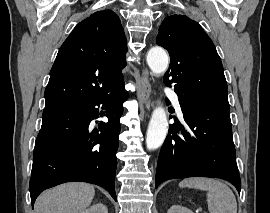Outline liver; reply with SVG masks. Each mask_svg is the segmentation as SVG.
<instances>
[{"mask_svg": "<svg viewBox=\"0 0 270 213\" xmlns=\"http://www.w3.org/2000/svg\"><path fill=\"white\" fill-rule=\"evenodd\" d=\"M93 186L67 183L43 192L36 200L34 213H81L92 202Z\"/></svg>", "mask_w": 270, "mask_h": 213, "instance_id": "6515ba94", "label": "liver"}]
</instances>
